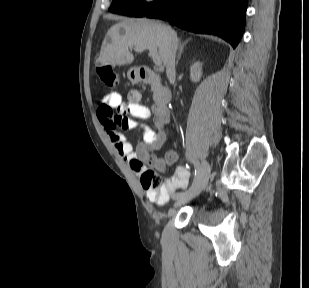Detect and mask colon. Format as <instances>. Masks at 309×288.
<instances>
[{
  "mask_svg": "<svg viewBox=\"0 0 309 288\" xmlns=\"http://www.w3.org/2000/svg\"><path fill=\"white\" fill-rule=\"evenodd\" d=\"M97 74L100 82L108 88L116 87L119 84L118 74L111 66H98ZM98 112L107 113L112 118L113 123L118 126L124 125L128 119L124 110L118 109L116 112H114L112 108L106 105L99 106ZM140 180L143 187L147 191L156 192L159 190L161 184V175L154 172L153 170H145L141 173Z\"/></svg>",
  "mask_w": 309,
  "mask_h": 288,
  "instance_id": "obj_1",
  "label": "colon"
}]
</instances>
